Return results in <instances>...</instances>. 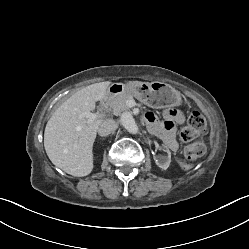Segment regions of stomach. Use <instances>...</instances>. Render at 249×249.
<instances>
[{
  "label": "stomach",
  "mask_w": 249,
  "mask_h": 249,
  "mask_svg": "<svg viewBox=\"0 0 249 249\" xmlns=\"http://www.w3.org/2000/svg\"><path fill=\"white\" fill-rule=\"evenodd\" d=\"M113 95L128 94L142 103L155 108L177 106L181 103V94L172 86L162 82L130 81L125 84L116 83L109 87Z\"/></svg>",
  "instance_id": "1"
}]
</instances>
